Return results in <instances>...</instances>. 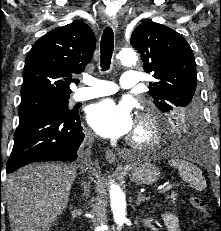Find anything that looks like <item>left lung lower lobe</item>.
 <instances>
[{
    "mask_svg": "<svg viewBox=\"0 0 221 231\" xmlns=\"http://www.w3.org/2000/svg\"><path fill=\"white\" fill-rule=\"evenodd\" d=\"M198 121V119L192 121L189 126L190 129L192 130L191 132L195 134V137L197 140L199 141H203L204 140V136L203 134H201V132L199 131V124L196 122ZM177 142H180L181 145H184L186 141H184L183 137H177Z\"/></svg>",
    "mask_w": 221,
    "mask_h": 231,
    "instance_id": "0a47b994",
    "label": "left lung lower lobe"
}]
</instances>
